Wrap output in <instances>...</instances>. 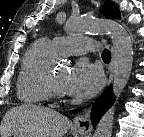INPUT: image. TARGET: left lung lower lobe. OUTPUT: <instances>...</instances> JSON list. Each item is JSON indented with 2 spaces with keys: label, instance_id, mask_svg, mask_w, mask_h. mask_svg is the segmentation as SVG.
<instances>
[{
  "label": "left lung lower lobe",
  "instance_id": "obj_1",
  "mask_svg": "<svg viewBox=\"0 0 144 137\" xmlns=\"http://www.w3.org/2000/svg\"><path fill=\"white\" fill-rule=\"evenodd\" d=\"M113 99L114 97L112 90L110 88H107L96 100L91 112V120L94 125L99 121L105 111H107V109L112 105ZM79 110L80 109H78L77 111Z\"/></svg>",
  "mask_w": 144,
  "mask_h": 137
}]
</instances>
